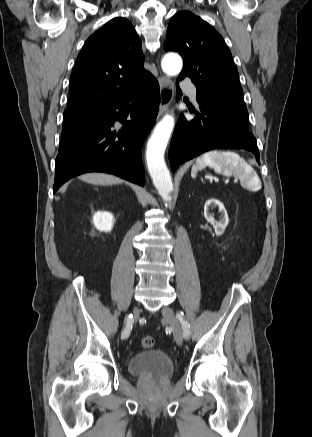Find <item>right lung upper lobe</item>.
Returning a JSON list of instances; mask_svg holds the SVG:
<instances>
[{"mask_svg": "<svg viewBox=\"0 0 312 437\" xmlns=\"http://www.w3.org/2000/svg\"><path fill=\"white\" fill-rule=\"evenodd\" d=\"M140 39L117 17L85 42L72 70L69 111L99 110L137 87L150 73L143 67Z\"/></svg>", "mask_w": 312, "mask_h": 437, "instance_id": "cb5924a9", "label": "right lung upper lobe"}]
</instances>
